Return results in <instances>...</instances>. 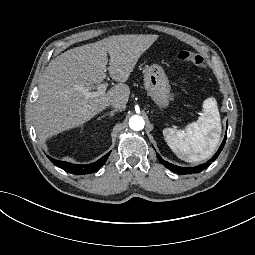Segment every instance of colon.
Masks as SVG:
<instances>
[{
    "mask_svg": "<svg viewBox=\"0 0 255 255\" xmlns=\"http://www.w3.org/2000/svg\"><path fill=\"white\" fill-rule=\"evenodd\" d=\"M177 58L181 61H185V62L193 64L198 69H204L205 68L204 59L200 55H198L194 52H191V51H188V50L179 51L177 53Z\"/></svg>",
    "mask_w": 255,
    "mask_h": 255,
    "instance_id": "5ec220e1",
    "label": "colon"
}]
</instances>
